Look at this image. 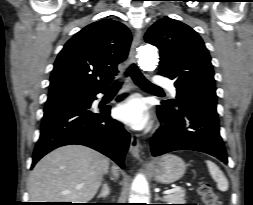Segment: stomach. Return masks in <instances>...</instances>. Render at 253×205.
Segmentation results:
<instances>
[{"instance_id":"0dacf381","label":"stomach","mask_w":253,"mask_h":205,"mask_svg":"<svg viewBox=\"0 0 253 205\" xmlns=\"http://www.w3.org/2000/svg\"><path fill=\"white\" fill-rule=\"evenodd\" d=\"M186 170L184 161L172 154L164 155L151 167L155 179L161 183L169 184L180 179Z\"/></svg>"}]
</instances>
